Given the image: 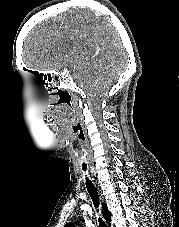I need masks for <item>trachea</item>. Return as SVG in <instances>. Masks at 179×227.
Instances as JSON below:
<instances>
[{
    "instance_id": "obj_1",
    "label": "trachea",
    "mask_w": 179,
    "mask_h": 227,
    "mask_svg": "<svg viewBox=\"0 0 179 227\" xmlns=\"http://www.w3.org/2000/svg\"><path fill=\"white\" fill-rule=\"evenodd\" d=\"M81 162L83 163L82 170L86 171L87 170V165L85 164L86 161L83 159ZM86 187H87V191L93 201L94 206L96 208H98L99 207V195H98L97 189L95 188L92 181L87 177H86ZM98 221H99V227H106L105 222L100 217H99Z\"/></svg>"
}]
</instances>
